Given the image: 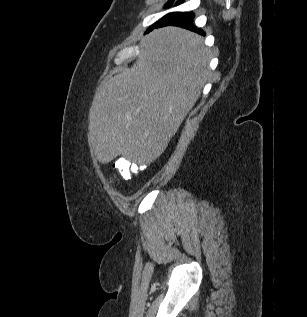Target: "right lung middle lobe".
<instances>
[{
	"mask_svg": "<svg viewBox=\"0 0 307 317\" xmlns=\"http://www.w3.org/2000/svg\"><path fill=\"white\" fill-rule=\"evenodd\" d=\"M173 4V0L169 1L167 4H166V7H171Z\"/></svg>",
	"mask_w": 307,
	"mask_h": 317,
	"instance_id": "dd1d6c3e",
	"label": "right lung middle lobe"
}]
</instances>
